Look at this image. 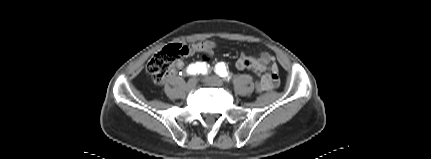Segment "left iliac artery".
Here are the masks:
<instances>
[{
  "label": "left iliac artery",
  "mask_w": 431,
  "mask_h": 159,
  "mask_svg": "<svg viewBox=\"0 0 431 159\" xmlns=\"http://www.w3.org/2000/svg\"><path fill=\"white\" fill-rule=\"evenodd\" d=\"M215 72H216V74L223 77L224 79H226V78H227V80L230 79L229 73L227 71V67L223 62H220L215 66Z\"/></svg>",
  "instance_id": "obj_1"
}]
</instances>
